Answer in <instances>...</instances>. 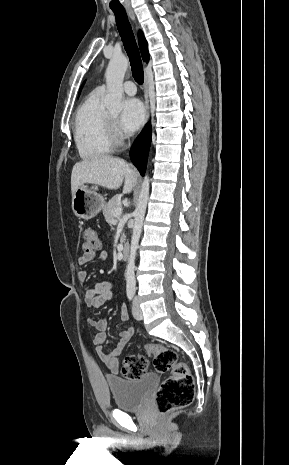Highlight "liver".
Listing matches in <instances>:
<instances>
[{"mask_svg": "<svg viewBox=\"0 0 289 465\" xmlns=\"http://www.w3.org/2000/svg\"><path fill=\"white\" fill-rule=\"evenodd\" d=\"M137 180L135 169L123 159L102 157L94 160H84L74 165L71 174V192L84 183L105 187L110 190L120 188L124 181L123 193H130Z\"/></svg>", "mask_w": 289, "mask_h": 465, "instance_id": "obj_1", "label": "liver"}]
</instances>
